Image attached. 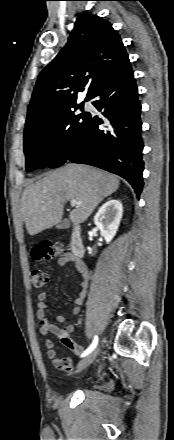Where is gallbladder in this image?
I'll use <instances>...</instances> for the list:
<instances>
[{"label": "gallbladder", "instance_id": "1", "mask_svg": "<svg viewBox=\"0 0 174 440\" xmlns=\"http://www.w3.org/2000/svg\"><path fill=\"white\" fill-rule=\"evenodd\" d=\"M69 227V221L68 219H63L57 226V229H65Z\"/></svg>", "mask_w": 174, "mask_h": 440}]
</instances>
